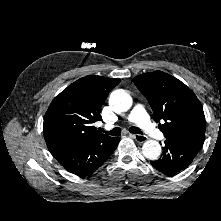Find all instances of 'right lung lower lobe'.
Segmentation results:
<instances>
[{
    "instance_id": "98d812e1",
    "label": "right lung lower lobe",
    "mask_w": 221,
    "mask_h": 221,
    "mask_svg": "<svg viewBox=\"0 0 221 221\" xmlns=\"http://www.w3.org/2000/svg\"><path fill=\"white\" fill-rule=\"evenodd\" d=\"M119 141L120 138L108 137L95 143L76 145L51 154L67 171L78 176H88L111 156Z\"/></svg>"
}]
</instances>
